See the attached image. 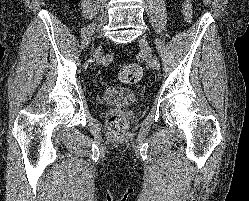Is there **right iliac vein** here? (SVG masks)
Wrapping results in <instances>:
<instances>
[{"label":"right iliac vein","instance_id":"63e3f726","mask_svg":"<svg viewBox=\"0 0 249 201\" xmlns=\"http://www.w3.org/2000/svg\"><path fill=\"white\" fill-rule=\"evenodd\" d=\"M99 53H100V49H97V50H96V54H99Z\"/></svg>","mask_w":249,"mask_h":201}]
</instances>
